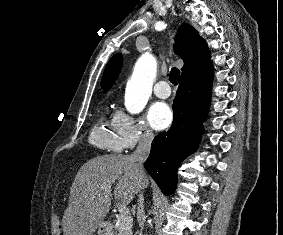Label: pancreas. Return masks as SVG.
<instances>
[{
  "mask_svg": "<svg viewBox=\"0 0 283 235\" xmlns=\"http://www.w3.org/2000/svg\"><path fill=\"white\" fill-rule=\"evenodd\" d=\"M114 223H116L115 235H132L133 219L131 216L120 215L114 220Z\"/></svg>",
  "mask_w": 283,
  "mask_h": 235,
  "instance_id": "1",
  "label": "pancreas"
}]
</instances>
